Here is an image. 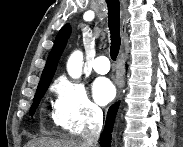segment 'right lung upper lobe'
Segmentation results:
<instances>
[{
  "label": "right lung upper lobe",
  "mask_w": 183,
  "mask_h": 147,
  "mask_svg": "<svg viewBox=\"0 0 183 147\" xmlns=\"http://www.w3.org/2000/svg\"><path fill=\"white\" fill-rule=\"evenodd\" d=\"M69 34H70V25L66 24L61 28V30L56 36L53 48L48 56V59H47V62L43 70L41 80L39 82L37 89L49 87V84L55 74L59 58L67 43Z\"/></svg>",
  "instance_id": "obj_1"
}]
</instances>
